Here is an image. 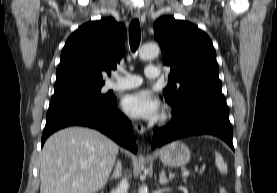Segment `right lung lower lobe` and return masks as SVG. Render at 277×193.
Wrapping results in <instances>:
<instances>
[{"instance_id": "98d812e1", "label": "right lung lower lobe", "mask_w": 277, "mask_h": 193, "mask_svg": "<svg viewBox=\"0 0 277 193\" xmlns=\"http://www.w3.org/2000/svg\"><path fill=\"white\" fill-rule=\"evenodd\" d=\"M73 125L95 128L119 145L137 152L130 121L116 109V98L91 94L54 93L46 117L41 145L53 132Z\"/></svg>"}]
</instances>
